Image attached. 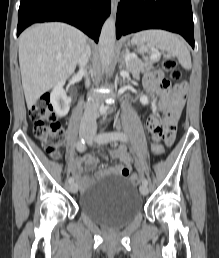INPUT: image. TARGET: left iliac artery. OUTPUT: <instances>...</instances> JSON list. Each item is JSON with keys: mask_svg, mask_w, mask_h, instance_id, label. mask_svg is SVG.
I'll list each match as a JSON object with an SVG mask.
<instances>
[{"mask_svg": "<svg viewBox=\"0 0 219 258\" xmlns=\"http://www.w3.org/2000/svg\"><path fill=\"white\" fill-rule=\"evenodd\" d=\"M115 140L127 141V135L122 132H109L101 133L95 138V141L99 144H105ZM142 184L148 185V181L146 178L142 179Z\"/></svg>", "mask_w": 219, "mask_h": 258, "instance_id": "44dca946", "label": "left iliac artery"}]
</instances>
